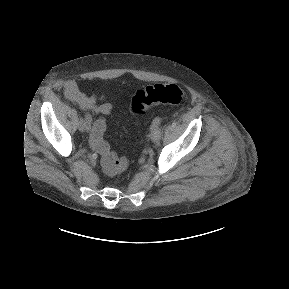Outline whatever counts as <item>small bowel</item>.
Listing matches in <instances>:
<instances>
[{"mask_svg":"<svg viewBox=\"0 0 289 289\" xmlns=\"http://www.w3.org/2000/svg\"><path fill=\"white\" fill-rule=\"evenodd\" d=\"M64 94L69 100L77 103L82 109L91 111L95 114L110 115L114 108L111 102L99 104L96 95H86L83 93L74 80H68L64 83ZM93 133L94 129H92L91 136H93Z\"/></svg>","mask_w":289,"mask_h":289,"instance_id":"obj_1","label":"small bowel"}]
</instances>
